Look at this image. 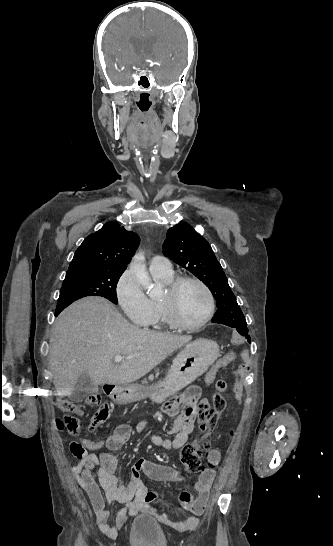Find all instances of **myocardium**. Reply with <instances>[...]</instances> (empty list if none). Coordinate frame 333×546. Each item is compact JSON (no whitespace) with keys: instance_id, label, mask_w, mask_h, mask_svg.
I'll return each instance as SVG.
<instances>
[{"instance_id":"1","label":"myocardium","mask_w":333,"mask_h":546,"mask_svg":"<svg viewBox=\"0 0 333 546\" xmlns=\"http://www.w3.org/2000/svg\"><path fill=\"white\" fill-rule=\"evenodd\" d=\"M197 284L206 294L208 306L205 315L202 319L194 324H188L183 322L175 313L173 307V299L178 292L179 288L185 283ZM159 304L166 322L178 330L183 331H196L204 327L213 317L215 312V297L209 286L201 279L194 276H178L168 284L166 290V296L159 300Z\"/></svg>"}]
</instances>
